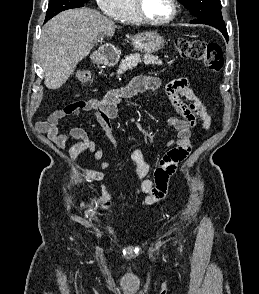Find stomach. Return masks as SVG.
I'll return each mask as SVG.
<instances>
[{
    "instance_id": "1",
    "label": "stomach",
    "mask_w": 259,
    "mask_h": 294,
    "mask_svg": "<svg viewBox=\"0 0 259 294\" xmlns=\"http://www.w3.org/2000/svg\"><path fill=\"white\" fill-rule=\"evenodd\" d=\"M131 41L136 51L146 54L157 52L165 45L164 38L156 32L140 33L132 37Z\"/></svg>"
}]
</instances>
